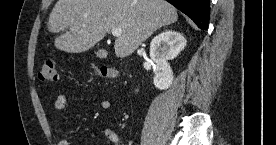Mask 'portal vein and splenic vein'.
Instances as JSON below:
<instances>
[{"mask_svg":"<svg viewBox=\"0 0 276 145\" xmlns=\"http://www.w3.org/2000/svg\"><path fill=\"white\" fill-rule=\"evenodd\" d=\"M111 33L115 37H119L122 34V29L121 28H113L111 30Z\"/></svg>","mask_w":276,"mask_h":145,"instance_id":"obj_1","label":"portal vein and splenic vein"}]
</instances>
